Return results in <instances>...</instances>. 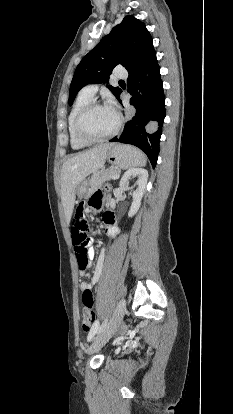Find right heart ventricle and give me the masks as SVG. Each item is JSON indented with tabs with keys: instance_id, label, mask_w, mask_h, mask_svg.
I'll return each instance as SVG.
<instances>
[{
	"instance_id": "right-heart-ventricle-1",
	"label": "right heart ventricle",
	"mask_w": 233,
	"mask_h": 414,
	"mask_svg": "<svg viewBox=\"0 0 233 414\" xmlns=\"http://www.w3.org/2000/svg\"><path fill=\"white\" fill-rule=\"evenodd\" d=\"M91 101H92V97H90V96L84 94L83 92H81L77 96V98H76V100H75V102H74V104L71 108V111L69 113V116H68L69 140H70L71 147L75 150L84 149V148H86L90 145V143L83 142V141H81L77 138V136L75 134V131H74V123H75L76 117H77L78 113L81 111V109Z\"/></svg>"
}]
</instances>
